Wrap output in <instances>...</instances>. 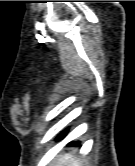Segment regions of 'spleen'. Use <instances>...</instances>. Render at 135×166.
Instances as JSON below:
<instances>
[{
    "mask_svg": "<svg viewBox=\"0 0 135 166\" xmlns=\"http://www.w3.org/2000/svg\"><path fill=\"white\" fill-rule=\"evenodd\" d=\"M51 166H81V161L72 154L59 155Z\"/></svg>",
    "mask_w": 135,
    "mask_h": 166,
    "instance_id": "obj_1",
    "label": "spleen"
}]
</instances>
